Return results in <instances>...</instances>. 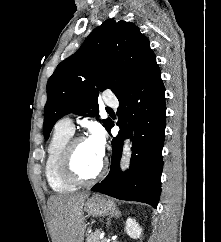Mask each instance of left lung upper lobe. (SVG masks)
I'll list each match as a JSON object with an SVG mask.
<instances>
[{
	"instance_id": "5c2ea615",
	"label": "left lung upper lobe",
	"mask_w": 221,
	"mask_h": 242,
	"mask_svg": "<svg viewBox=\"0 0 221 242\" xmlns=\"http://www.w3.org/2000/svg\"><path fill=\"white\" fill-rule=\"evenodd\" d=\"M155 65L150 42L139 28L123 20L108 19L95 28L73 55L62 61L47 83L44 137L68 113L98 115L99 91L119 95L142 79ZM106 130L111 122L103 120Z\"/></svg>"
}]
</instances>
